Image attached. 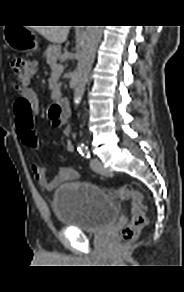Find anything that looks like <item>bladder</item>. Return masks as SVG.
<instances>
[{
    "label": "bladder",
    "mask_w": 184,
    "mask_h": 292,
    "mask_svg": "<svg viewBox=\"0 0 184 292\" xmlns=\"http://www.w3.org/2000/svg\"><path fill=\"white\" fill-rule=\"evenodd\" d=\"M52 208L63 227L92 234L113 225L119 214L115 195L88 183L61 185L54 193Z\"/></svg>",
    "instance_id": "bladder-1"
}]
</instances>
